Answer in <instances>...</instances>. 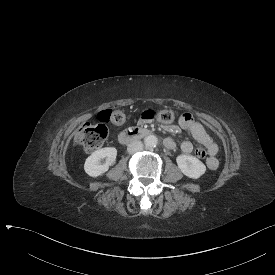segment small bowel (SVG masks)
<instances>
[{
    "mask_svg": "<svg viewBox=\"0 0 275 275\" xmlns=\"http://www.w3.org/2000/svg\"><path fill=\"white\" fill-rule=\"evenodd\" d=\"M167 130L171 133H177L180 130H186L191 133L194 140L200 145L204 146L209 151V158L206 161V165L209 169L215 170L219 166V160L216 156L217 145L206 132L201 123L196 121L189 113H184L179 120L178 125H170ZM171 140V143L166 146L167 148H174L175 142ZM180 149L185 154H190L193 151V143L189 140H184L180 143Z\"/></svg>",
    "mask_w": 275,
    "mask_h": 275,
    "instance_id": "obj_1",
    "label": "small bowel"
}]
</instances>
